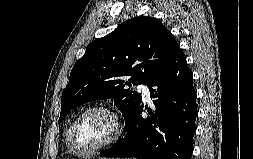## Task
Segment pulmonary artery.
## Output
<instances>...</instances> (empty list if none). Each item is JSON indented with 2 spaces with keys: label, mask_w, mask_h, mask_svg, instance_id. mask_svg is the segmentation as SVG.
Returning a JSON list of instances; mask_svg holds the SVG:
<instances>
[{
  "label": "pulmonary artery",
  "mask_w": 253,
  "mask_h": 159,
  "mask_svg": "<svg viewBox=\"0 0 253 159\" xmlns=\"http://www.w3.org/2000/svg\"><path fill=\"white\" fill-rule=\"evenodd\" d=\"M137 89L141 90L144 100L148 101L150 99V91L146 82L139 83Z\"/></svg>",
  "instance_id": "e3ab8cb5"
}]
</instances>
